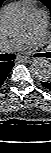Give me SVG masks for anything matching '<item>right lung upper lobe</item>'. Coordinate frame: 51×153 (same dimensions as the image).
I'll return each instance as SVG.
<instances>
[{"label":"right lung upper lobe","mask_w":51,"mask_h":153,"mask_svg":"<svg viewBox=\"0 0 51 153\" xmlns=\"http://www.w3.org/2000/svg\"><path fill=\"white\" fill-rule=\"evenodd\" d=\"M4 2V0H0V6ZM4 62H0V65L3 64Z\"/></svg>","instance_id":"1"}]
</instances>
